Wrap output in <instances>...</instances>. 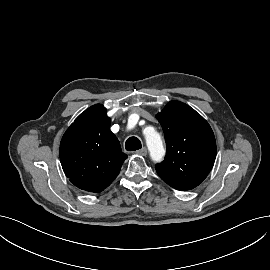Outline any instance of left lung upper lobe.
Masks as SVG:
<instances>
[{"mask_svg": "<svg viewBox=\"0 0 270 270\" xmlns=\"http://www.w3.org/2000/svg\"><path fill=\"white\" fill-rule=\"evenodd\" d=\"M156 118L167 146L164 161L155 166L158 175L177 190L195 188L207 177L216 157V141L210 125L179 101H170Z\"/></svg>", "mask_w": 270, "mask_h": 270, "instance_id": "5c2ea615", "label": "left lung upper lobe"}]
</instances>
